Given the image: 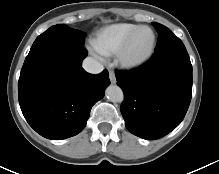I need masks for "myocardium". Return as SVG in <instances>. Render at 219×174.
Masks as SVG:
<instances>
[{
	"mask_svg": "<svg viewBox=\"0 0 219 174\" xmlns=\"http://www.w3.org/2000/svg\"><path fill=\"white\" fill-rule=\"evenodd\" d=\"M143 29H148L152 33V41H151L150 47L144 55L137 57V58H129L127 56V52L131 45V42L134 39L135 35L140 30H143ZM155 47H156L155 31L150 26H147V25L139 26L127 36V38L124 40L122 45L117 50L115 54L116 62L122 68L127 69V70H134V69L140 68L151 59V57L154 54Z\"/></svg>",
	"mask_w": 219,
	"mask_h": 174,
	"instance_id": "f54148a6",
	"label": "myocardium"
}]
</instances>
